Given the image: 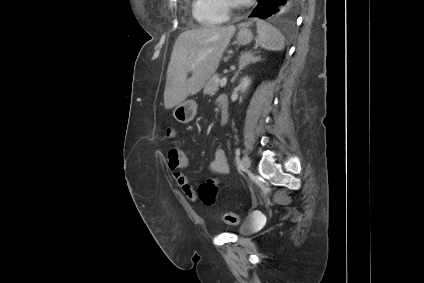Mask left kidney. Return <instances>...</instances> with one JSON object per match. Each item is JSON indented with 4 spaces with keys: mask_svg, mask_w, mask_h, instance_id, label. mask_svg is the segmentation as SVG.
<instances>
[{
    "mask_svg": "<svg viewBox=\"0 0 424 283\" xmlns=\"http://www.w3.org/2000/svg\"><path fill=\"white\" fill-rule=\"evenodd\" d=\"M251 84V80L248 77H243L239 83V89L242 92H246V90L248 89V87Z\"/></svg>",
    "mask_w": 424,
    "mask_h": 283,
    "instance_id": "5707ae66",
    "label": "left kidney"
}]
</instances>
